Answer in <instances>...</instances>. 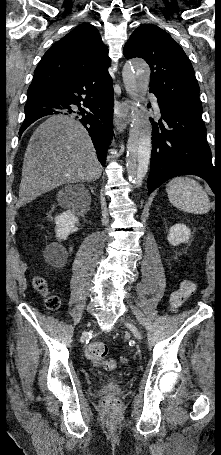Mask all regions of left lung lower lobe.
<instances>
[{
    "mask_svg": "<svg viewBox=\"0 0 221 455\" xmlns=\"http://www.w3.org/2000/svg\"><path fill=\"white\" fill-rule=\"evenodd\" d=\"M155 96L161 119L158 124L152 126L148 194L168 179L184 174L203 178L215 192L218 182L221 184V173L218 174L212 164L211 150L205 139V126L201 115Z\"/></svg>",
    "mask_w": 221,
    "mask_h": 455,
    "instance_id": "1",
    "label": "left lung lower lobe"
}]
</instances>
